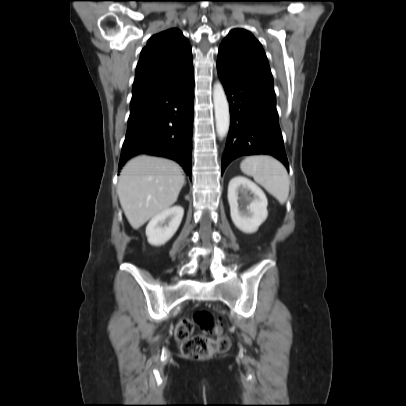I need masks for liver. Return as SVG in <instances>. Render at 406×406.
<instances>
[{"label":"liver","instance_id":"1","mask_svg":"<svg viewBox=\"0 0 406 406\" xmlns=\"http://www.w3.org/2000/svg\"><path fill=\"white\" fill-rule=\"evenodd\" d=\"M185 183L175 162L140 155L121 171L117 192L125 216L134 229L172 206Z\"/></svg>","mask_w":406,"mask_h":406}]
</instances>
